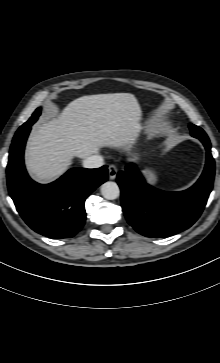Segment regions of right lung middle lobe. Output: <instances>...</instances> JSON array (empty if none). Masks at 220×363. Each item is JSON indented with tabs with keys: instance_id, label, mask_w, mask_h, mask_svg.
Masks as SVG:
<instances>
[{
	"instance_id": "dd1d6c3e",
	"label": "right lung middle lobe",
	"mask_w": 220,
	"mask_h": 363,
	"mask_svg": "<svg viewBox=\"0 0 220 363\" xmlns=\"http://www.w3.org/2000/svg\"><path fill=\"white\" fill-rule=\"evenodd\" d=\"M40 112H41V108H38L36 109V111L33 113L32 117L26 122L24 123L19 129L17 132L20 131V129H23L24 127L30 125V124H33L36 122V120L38 119L39 115H40Z\"/></svg>"
}]
</instances>
